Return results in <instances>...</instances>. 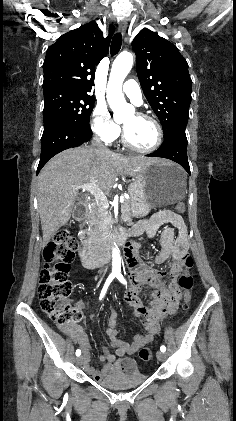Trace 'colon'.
Returning a JSON list of instances; mask_svg holds the SVG:
<instances>
[{
  "label": "colon",
  "instance_id": "1",
  "mask_svg": "<svg viewBox=\"0 0 236 421\" xmlns=\"http://www.w3.org/2000/svg\"><path fill=\"white\" fill-rule=\"evenodd\" d=\"M179 213H184L186 206L183 202L176 205ZM75 240L67 227L58 230L44 250L45 266L39 277L38 295L43 312L61 328H67L82 319V311L73 307L67 301L73 284L68 278L70 263L74 259ZM193 258L189 254L183 255L178 262L176 275L177 284L183 292L181 309L187 311L190 305V291L193 286L191 269ZM139 356L144 361L153 357V350L142 348Z\"/></svg>",
  "mask_w": 236,
  "mask_h": 421
}]
</instances>
